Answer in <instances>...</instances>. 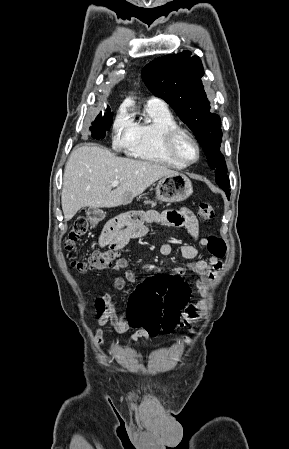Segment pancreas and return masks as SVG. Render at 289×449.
<instances>
[{
  "mask_svg": "<svg viewBox=\"0 0 289 449\" xmlns=\"http://www.w3.org/2000/svg\"><path fill=\"white\" fill-rule=\"evenodd\" d=\"M144 204H145V205L150 204L152 207H155V206H156V202H154V201H149V200L145 201Z\"/></svg>",
  "mask_w": 289,
  "mask_h": 449,
  "instance_id": "cf45deb5",
  "label": "pancreas"
}]
</instances>
